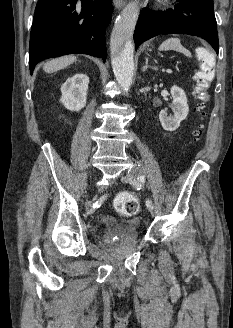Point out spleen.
Returning <instances> with one entry per match:
<instances>
[{
	"instance_id": "3e777b00",
	"label": "spleen",
	"mask_w": 233,
	"mask_h": 328,
	"mask_svg": "<svg viewBox=\"0 0 233 328\" xmlns=\"http://www.w3.org/2000/svg\"><path fill=\"white\" fill-rule=\"evenodd\" d=\"M159 50H174L184 54L187 57H191V52L181 45L179 38H169L165 40L160 46Z\"/></svg>"
}]
</instances>
